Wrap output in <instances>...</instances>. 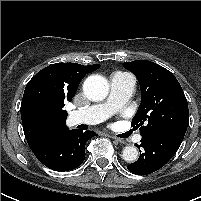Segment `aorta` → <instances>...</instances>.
<instances>
[{
	"label": "aorta",
	"instance_id": "aorta-1",
	"mask_svg": "<svg viewBox=\"0 0 201 201\" xmlns=\"http://www.w3.org/2000/svg\"><path fill=\"white\" fill-rule=\"evenodd\" d=\"M83 91L86 97L92 101H101L109 93L108 81L100 75L89 76L83 84ZM122 158L126 162H135L138 159V150L133 146H127L123 149Z\"/></svg>",
	"mask_w": 201,
	"mask_h": 201
}]
</instances>
